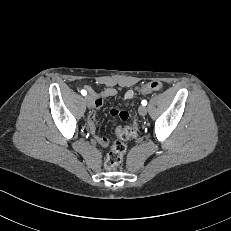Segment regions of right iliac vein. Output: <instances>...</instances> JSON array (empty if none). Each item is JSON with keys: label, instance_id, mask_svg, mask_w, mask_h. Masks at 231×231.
Here are the masks:
<instances>
[{"label": "right iliac vein", "instance_id": "1", "mask_svg": "<svg viewBox=\"0 0 231 231\" xmlns=\"http://www.w3.org/2000/svg\"><path fill=\"white\" fill-rule=\"evenodd\" d=\"M85 102H86V105H87L88 108L91 109V108L94 107V100H93V98L90 95H87L85 97Z\"/></svg>", "mask_w": 231, "mask_h": 231}]
</instances>
